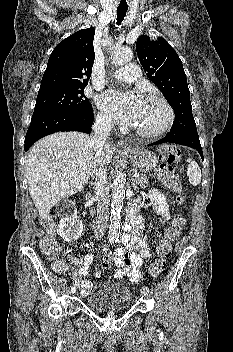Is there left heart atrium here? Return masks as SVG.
<instances>
[{
  "label": "left heart atrium",
  "mask_w": 233,
  "mask_h": 352,
  "mask_svg": "<svg viewBox=\"0 0 233 352\" xmlns=\"http://www.w3.org/2000/svg\"><path fill=\"white\" fill-rule=\"evenodd\" d=\"M140 104L141 99L133 93L109 91L101 97V105L123 125L135 124Z\"/></svg>",
  "instance_id": "left-heart-atrium-1"
}]
</instances>
